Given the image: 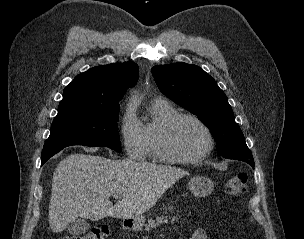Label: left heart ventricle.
<instances>
[{
    "instance_id": "left-heart-ventricle-1",
    "label": "left heart ventricle",
    "mask_w": 304,
    "mask_h": 239,
    "mask_svg": "<svg viewBox=\"0 0 304 239\" xmlns=\"http://www.w3.org/2000/svg\"><path fill=\"white\" fill-rule=\"evenodd\" d=\"M170 143L177 154L193 156L203 151L207 140L203 129L196 122L183 119L173 129Z\"/></svg>"
}]
</instances>
